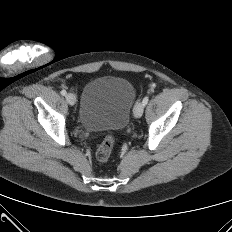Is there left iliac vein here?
<instances>
[{"label": "left iliac vein", "mask_w": 232, "mask_h": 232, "mask_svg": "<svg viewBox=\"0 0 232 232\" xmlns=\"http://www.w3.org/2000/svg\"><path fill=\"white\" fill-rule=\"evenodd\" d=\"M144 111V105L142 102H137L134 109H133V114L135 118H140L143 114Z\"/></svg>", "instance_id": "4c4485c4"}]
</instances>
